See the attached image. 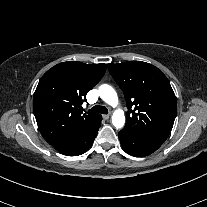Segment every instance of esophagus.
<instances>
[{
    "label": "esophagus",
    "instance_id": "34e87169",
    "mask_svg": "<svg viewBox=\"0 0 207 207\" xmlns=\"http://www.w3.org/2000/svg\"><path fill=\"white\" fill-rule=\"evenodd\" d=\"M109 115H103V119L108 120L109 119Z\"/></svg>",
    "mask_w": 207,
    "mask_h": 207
}]
</instances>
